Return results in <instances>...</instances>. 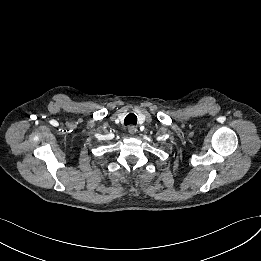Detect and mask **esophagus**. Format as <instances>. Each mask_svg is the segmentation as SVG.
Listing matches in <instances>:
<instances>
[{"mask_svg": "<svg viewBox=\"0 0 261 261\" xmlns=\"http://www.w3.org/2000/svg\"><path fill=\"white\" fill-rule=\"evenodd\" d=\"M136 131H137V128L134 126V125H130L129 127H128V132L130 133V134H135L136 133Z\"/></svg>", "mask_w": 261, "mask_h": 261, "instance_id": "esophagus-1", "label": "esophagus"}]
</instances>
